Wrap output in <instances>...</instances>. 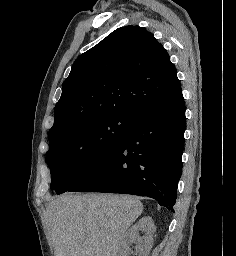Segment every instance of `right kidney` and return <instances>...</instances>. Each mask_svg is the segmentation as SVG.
<instances>
[{"label": "right kidney", "mask_w": 236, "mask_h": 256, "mask_svg": "<svg viewBox=\"0 0 236 256\" xmlns=\"http://www.w3.org/2000/svg\"><path fill=\"white\" fill-rule=\"evenodd\" d=\"M156 228L150 216H144L139 222H136L128 232L121 244L120 256H128L131 250L130 244H137L135 248V256H149L150 250L153 246V234ZM139 232H145L143 238H139Z\"/></svg>", "instance_id": "obj_1"}]
</instances>
